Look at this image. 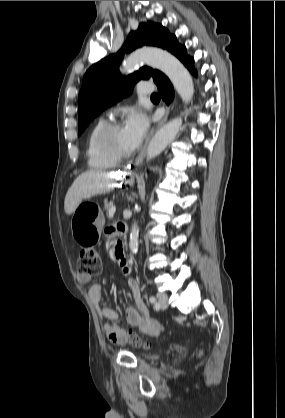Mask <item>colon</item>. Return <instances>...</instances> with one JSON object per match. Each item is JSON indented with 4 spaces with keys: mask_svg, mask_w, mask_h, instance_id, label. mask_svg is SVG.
Returning a JSON list of instances; mask_svg holds the SVG:
<instances>
[{
    "mask_svg": "<svg viewBox=\"0 0 285 418\" xmlns=\"http://www.w3.org/2000/svg\"><path fill=\"white\" fill-rule=\"evenodd\" d=\"M115 256L119 261L125 260L124 245L121 241H118L115 245ZM100 267L101 266L99 256L96 251L92 249H84L80 252L79 260L77 262V273L79 275H95L100 271ZM124 333L126 334L127 340L132 345H135L137 347L149 348V345L143 343L141 338L136 333L132 331H124ZM201 354V351H199L198 356H200Z\"/></svg>",
    "mask_w": 285,
    "mask_h": 418,
    "instance_id": "5ec220e1",
    "label": "colon"
}]
</instances>
